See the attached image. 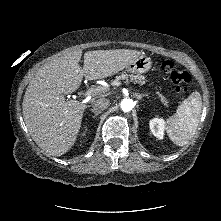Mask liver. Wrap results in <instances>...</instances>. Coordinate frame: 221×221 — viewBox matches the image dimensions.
<instances>
[{
	"label": "liver",
	"instance_id": "obj_1",
	"mask_svg": "<svg viewBox=\"0 0 221 221\" xmlns=\"http://www.w3.org/2000/svg\"><path fill=\"white\" fill-rule=\"evenodd\" d=\"M140 51L130 49L95 50L84 54L72 51L41 68L30 81L23 98V117L35 143L52 156L67 153L77 140L86 106L67 101L83 77L96 80L124 70ZM98 93V92H97Z\"/></svg>",
	"mask_w": 221,
	"mask_h": 221
}]
</instances>
